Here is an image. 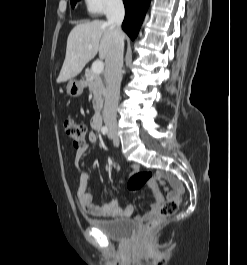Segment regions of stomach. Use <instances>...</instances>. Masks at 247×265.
<instances>
[{"instance_id":"stomach-1","label":"stomach","mask_w":247,"mask_h":265,"mask_svg":"<svg viewBox=\"0 0 247 265\" xmlns=\"http://www.w3.org/2000/svg\"><path fill=\"white\" fill-rule=\"evenodd\" d=\"M84 89V82L75 79H70L67 84V93L71 97H79Z\"/></svg>"}]
</instances>
